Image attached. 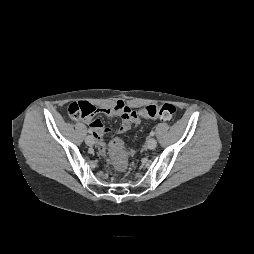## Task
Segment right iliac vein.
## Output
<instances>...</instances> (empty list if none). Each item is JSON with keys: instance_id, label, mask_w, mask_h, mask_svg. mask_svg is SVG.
<instances>
[{"instance_id": "63e3f726", "label": "right iliac vein", "mask_w": 254, "mask_h": 254, "mask_svg": "<svg viewBox=\"0 0 254 254\" xmlns=\"http://www.w3.org/2000/svg\"><path fill=\"white\" fill-rule=\"evenodd\" d=\"M85 143L88 145V146H93L95 141H94V138L89 135L85 138Z\"/></svg>"}]
</instances>
